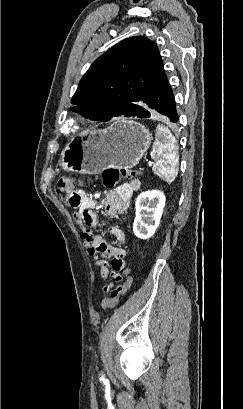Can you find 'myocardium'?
Returning a JSON list of instances; mask_svg holds the SVG:
<instances>
[{"instance_id":"f54148a6","label":"myocardium","mask_w":243,"mask_h":409,"mask_svg":"<svg viewBox=\"0 0 243 409\" xmlns=\"http://www.w3.org/2000/svg\"><path fill=\"white\" fill-rule=\"evenodd\" d=\"M72 124L76 126H83L87 124V119L82 115H76L72 118Z\"/></svg>"}]
</instances>
